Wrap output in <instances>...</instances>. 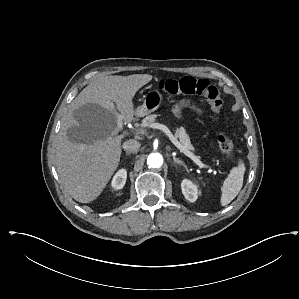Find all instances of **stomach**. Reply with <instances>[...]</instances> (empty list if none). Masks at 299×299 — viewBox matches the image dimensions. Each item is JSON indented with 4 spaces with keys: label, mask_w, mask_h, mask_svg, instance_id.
Here are the masks:
<instances>
[{
    "label": "stomach",
    "mask_w": 299,
    "mask_h": 299,
    "mask_svg": "<svg viewBox=\"0 0 299 299\" xmlns=\"http://www.w3.org/2000/svg\"><path fill=\"white\" fill-rule=\"evenodd\" d=\"M162 103V96L158 91H149L143 97V104L138 106L135 115L137 117H143L154 111H156Z\"/></svg>",
    "instance_id": "0dacf381"
}]
</instances>
